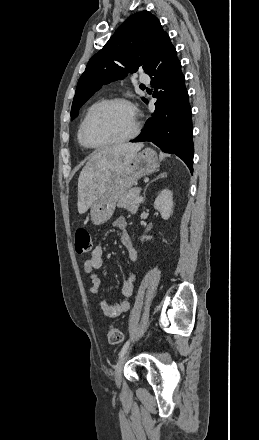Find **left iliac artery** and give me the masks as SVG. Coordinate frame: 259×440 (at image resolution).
I'll use <instances>...</instances> for the list:
<instances>
[{
    "instance_id": "obj_1",
    "label": "left iliac artery",
    "mask_w": 259,
    "mask_h": 440,
    "mask_svg": "<svg viewBox=\"0 0 259 440\" xmlns=\"http://www.w3.org/2000/svg\"><path fill=\"white\" fill-rule=\"evenodd\" d=\"M129 343H130V341L128 340V341L124 344L123 348L121 349V351H120V353H119V358H121V357L123 356V354L126 352L128 346H129Z\"/></svg>"
}]
</instances>
